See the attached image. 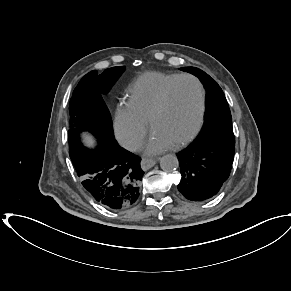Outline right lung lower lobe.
<instances>
[{
  "mask_svg": "<svg viewBox=\"0 0 291 291\" xmlns=\"http://www.w3.org/2000/svg\"><path fill=\"white\" fill-rule=\"evenodd\" d=\"M69 154L82 185L98 203L120 210L138 200L144 175L141 159L113 137L97 139L93 149L80 146Z\"/></svg>",
  "mask_w": 291,
  "mask_h": 291,
  "instance_id": "98d812e1",
  "label": "right lung lower lobe"
}]
</instances>
